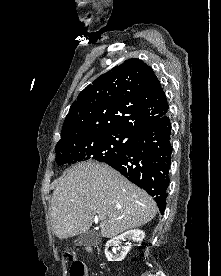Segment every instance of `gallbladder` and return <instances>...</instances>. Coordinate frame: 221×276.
Masks as SVG:
<instances>
[{"instance_id":"1","label":"gallbladder","mask_w":221,"mask_h":276,"mask_svg":"<svg viewBox=\"0 0 221 276\" xmlns=\"http://www.w3.org/2000/svg\"><path fill=\"white\" fill-rule=\"evenodd\" d=\"M99 242V238L97 237V233L95 231H89L81 234L75 240L77 245H96Z\"/></svg>"}]
</instances>
